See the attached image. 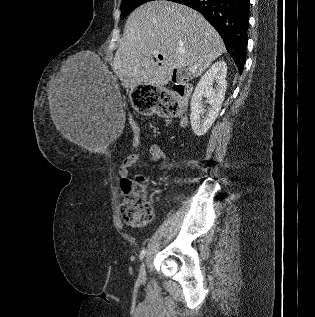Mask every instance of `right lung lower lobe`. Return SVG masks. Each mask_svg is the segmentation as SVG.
<instances>
[{
    "label": "right lung lower lobe",
    "mask_w": 315,
    "mask_h": 317,
    "mask_svg": "<svg viewBox=\"0 0 315 317\" xmlns=\"http://www.w3.org/2000/svg\"><path fill=\"white\" fill-rule=\"evenodd\" d=\"M199 11L222 37L241 73L246 60L250 0H175Z\"/></svg>",
    "instance_id": "98d812e1"
}]
</instances>
